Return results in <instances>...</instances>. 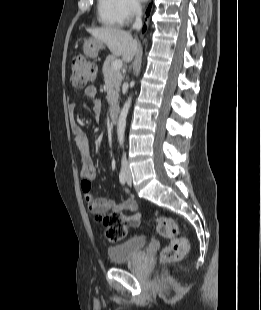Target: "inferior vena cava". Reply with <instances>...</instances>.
I'll return each mask as SVG.
<instances>
[{
	"label": "inferior vena cava",
	"instance_id": "inferior-vena-cava-1",
	"mask_svg": "<svg viewBox=\"0 0 261 310\" xmlns=\"http://www.w3.org/2000/svg\"><path fill=\"white\" fill-rule=\"evenodd\" d=\"M135 9H136V19H135V22L133 24V29H136V30H140L142 28V8H141V5L139 3H137L135 5ZM123 163L126 165L127 164V160H126V156L124 155V158H123Z\"/></svg>",
	"mask_w": 261,
	"mask_h": 310
}]
</instances>
